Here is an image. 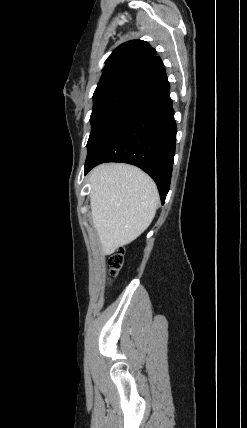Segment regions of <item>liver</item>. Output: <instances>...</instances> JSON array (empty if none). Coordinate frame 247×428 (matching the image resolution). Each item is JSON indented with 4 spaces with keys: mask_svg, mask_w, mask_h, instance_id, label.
I'll return each mask as SVG.
<instances>
[{
    "mask_svg": "<svg viewBox=\"0 0 247 428\" xmlns=\"http://www.w3.org/2000/svg\"><path fill=\"white\" fill-rule=\"evenodd\" d=\"M90 207L103 254L129 244L151 224L157 209L158 190L139 168L103 164L89 175Z\"/></svg>",
    "mask_w": 247,
    "mask_h": 428,
    "instance_id": "liver-1",
    "label": "liver"
}]
</instances>
